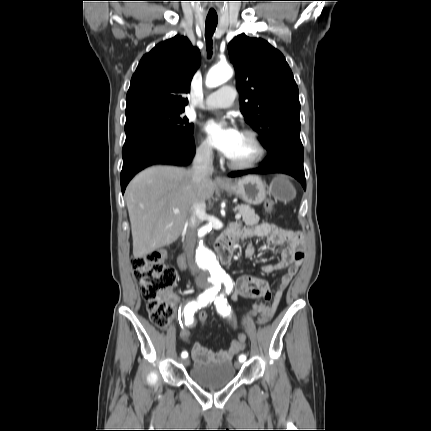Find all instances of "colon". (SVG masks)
Returning <instances> with one entry per match:
<instances>
[{
  "mask_svg": "<svg viewBox=\"0 0 431 431\" xmlns=\"http://www.w3.org/2000/svg\"><path fill=\"white\" fill-rule=\"evenodd\" d=\"M265 210L274 211V202L266 201ZM134 276L138 282L141 294L147 302V312L151 322L158 328L167 327L171 316V307L167 300V292L176 284L177 272L175 268L166 263V255L160 251L147 253L144 256L132 259ZM258 310H251L250 316L256 319ZM208 309H198L199 324L209 322ZM192 328L186 325L180 329V341L190 345V332ZM247 338L244 330L238 331L237 342L243 343Z\"/></svg>",
  "mask_w": 431,
  "mask_h": 431,
  "instance_id": "obj_1",
  "label": "colon"
}]
</instances>
